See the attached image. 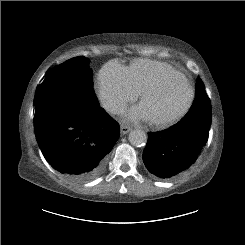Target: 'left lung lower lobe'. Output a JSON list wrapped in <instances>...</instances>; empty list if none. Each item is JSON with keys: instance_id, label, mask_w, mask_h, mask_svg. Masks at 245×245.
Returning <instances> with one entry per match:
<instances>
[{"instance_id": "left-lung-lower-lobe-1", "label": "left lung lower lobe", "mask_w": 245, "mask_h": 245, "mask_svg": "<svg viewBox=\"0 0 245 245\" xmlns=\"http://www.w3.org/2000/svg\"><path fill=\"white\" fill-rule=\"evenodd\" d=\"M202 89L203 84L197 85L196 95H201ZM209 130L210 120L205 124H175L161 132H149V141L143 152L145 166L162 179L178 176L201 155L208 141Z\"/></svg>"}]
</instances>
